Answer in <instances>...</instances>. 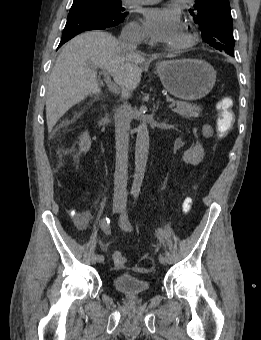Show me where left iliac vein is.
Masks as SVG:
<instances>
[{
	"label": "left iliac vein",
	"instance_id": "1",
	"mask_svg": "<svg viewBox=\"0 0 261 340\" xmlns=\"http://www.w3.org/2000/svg\"><path fill=\"white\" fill-rule=\"evenodd\" d=\"M120 225H121V223H120ZM121 227H122V225H121ZM122 228H123V227H122ZM159 262H160L162 265H166L167 263H169V262L167 261L166 257H165L163 254H160V255H159Z\"/></svg>",
	"mask_w": 261,
	"mask_h": 340
}]
</instances>
